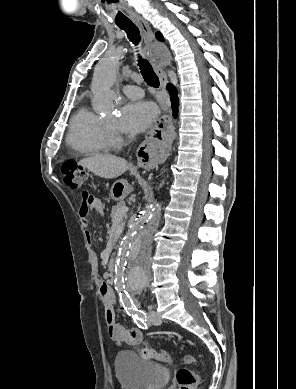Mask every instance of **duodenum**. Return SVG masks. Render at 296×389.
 <instances>
[{
    "instance_id": "410a0bca",
    "label": "duodenum",
    "mask_w": 296,
    "mask_h": 389,
    "mask_svg": "<svg viewBox=\"0 0 296 389\" xmlns=\"http://www.w3.org/2000/svg\"><path fill=\"white\" fill-rule=\"evenodd\" d=\"M115 263H116L115 258L114 257L110 258V260L108 262V269L111 273H114V271H115Z\"/></svg>"
}]
</instances>
